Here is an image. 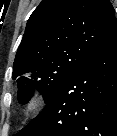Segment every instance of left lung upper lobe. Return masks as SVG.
Here are the masks:
<instances>
[{"label": "left lung upper lobe", "instance_id": "left-lung-upper-lobe-1", "mask_svg": "<svg viewBox=\"0 0 117 136\" xmlns=\"http://www.w3.org/2000/svg\"><path fill=\"white\" fill-rule=\"evenodd\" d=\"M116 25L109 0H42L14 60L18 101L27 102L35 88L47 101Z\"/></svg>", "mask_w": 117, "mask_h": 136}]
</instances>
